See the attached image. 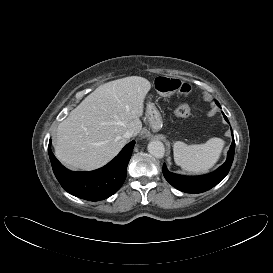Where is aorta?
<instances>
[{
    "instance_id": "obj_1",
    "label": "aorta",
    "mask_w": 273,
    "mask_h": 273,
    "mask_svg": "<svg viewBox=\"0 0 273 273\" xmlns=\"http://www.w3.org/2000/svg\"><path fill=\"white\" fill-rule=\"evenodd\" d=\"M148 152L155 158H162L165 154V147L161 141L154 140L148 144Z\"/></svg>"
}]
</instances>
